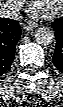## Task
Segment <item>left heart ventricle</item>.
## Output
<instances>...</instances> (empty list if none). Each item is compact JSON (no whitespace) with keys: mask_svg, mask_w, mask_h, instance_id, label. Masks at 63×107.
<instances>
[{"mask_svg":"<svg viewBox=\"0 0 63 107\" xmlns=\"http://www.w3.org/2000/svg\"><path fill=\"white\" fill-rule=\"evenodd\" d=\"M38 1H41V3L40 2L37 3V4H40V5H36V6H39L43 10H46V11L56 8L58 6L59 2H60V0H52V1H49V0H38Z\"/></svg>","mask_w":63,"mask_h":107,"instance_id":"1","label":"left heart ventricle"}]
</instances>
